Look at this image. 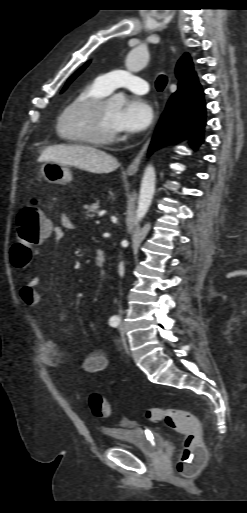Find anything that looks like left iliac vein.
I'll list each match as a JSON object with an SVG mask.
<instances>
[{
  "instance_id": "4c4485c4",
  "label": "left iliac vein",
  "mask_w": 247,
  "mask_h": 513,
  "mask_svg": "<svg viewBox=\"0 0 247 513\" xmlns=\"http://www.w3.org/2000/svg\"><path fill=\"white\" fill-rule=\"evenodd\" d=\"M120 331H121L122 344H123L124 348L126 349V351L128 352V346H127V340H126V337H125V331H124V328L122 326L120 327Z\"/></svg>"
}]
</instances>
